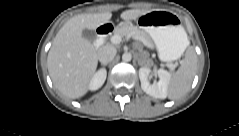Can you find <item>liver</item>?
<instances>
[{
	"instance_id": "6515ba94",
	"label": "liver",
	"mask_w": 239,
	"mask_h": 136,
	"mask_svg": "<svg viewBox=\"0 0 239 136\" xmlns=\"http://www.w3.org/2000/svg\"><path fill=\"white\" fill-rule=\"evenodd\" d=\"M144 10H127L121 19L136 20ZM112 13L79 14L70 18L56 34L47 57L49 75L56 89L65 97L84 96L95 74L98 56L90 41L82 37L84 29L94 30L107 23Z\"/></svg>"
}]
</instances>
